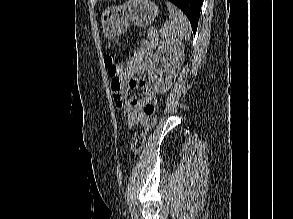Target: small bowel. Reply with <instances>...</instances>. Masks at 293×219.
Instances as JSON below:
<instances>
[{
    "mask_svg": "<svg viewBox=\"0 0 293 219\" xmlns=\"http://www.w3.org/2000/svg\"><path fill=\"white\" fill-rule=\"evenodd\" d=\"M152 56V48L147 42H142L141 46L134 52L127 61L123 71L119 75V90H115L111 83V89L116 105L122 109L126 116V124L129 129L135 126L147 127L149 125L150 113L148 107H155L157 96L151 90L147 82L136 77L144 73ZM130 89H141L142 99L129 97Z\"/></svg>",
    "mask_w": 293,
    "mask_h": 219,
    "instance_id": "1",
    "label": "small bowel"
}]
</instances>
